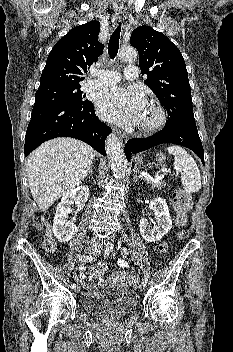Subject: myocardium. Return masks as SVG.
Listing matches in <instances>:
<instances>
[{
	"instance_id": "f54148a6",
	"label": "myocardium",
	"mask_w": 233,
	"mask_h": 352,
	"mask_svg": "<svg viewBox=\"0 0 233 352\" xmlns=\"http://www.w3.org/2000/svg\"><path fill=\"white\" fill-rule=\"evenodd\" d=\"M147 107L152 111L153 117L150 120H142L140 128L145 132H152L164 125L167 114L162 105L157 101L152 100L148 102Z\"/></svg>"
}]
</instances>
